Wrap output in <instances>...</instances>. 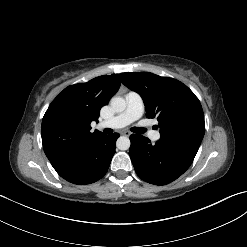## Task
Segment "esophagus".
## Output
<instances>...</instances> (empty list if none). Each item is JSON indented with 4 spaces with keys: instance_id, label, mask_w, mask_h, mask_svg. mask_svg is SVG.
<instances>
[{
    "instance_id": "obj_1",
    "label": "esophagus",
    "mask_w": 247,
    "mask_h": 247,
    "mask_svg": "<svg viewBox=\"0 0 247 247\" xmlns=\"http://www.w3.org/2000/svg\"><path fill=\"white\" fill-rule=\"evenodd\" d=\"M121 134L128 137L131 135L129 131H122Z\"/></svg>"
}]
</instances>
